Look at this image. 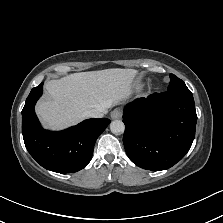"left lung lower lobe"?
I'll list each match as a JSON object with an SVG mask.
<instances>
[{"instance_id": "0a47b994", "label": "left lung lower lobe", "mask_w": 223, "mask_h": 223, "mask_svg": "<svg viewBox=\"0 0 223 223\" xmlns=\"http://www.w3.org/2000/svg\"><path fill=\"white\" fill-rule=\"evenodd\" d=\"M123 122L129 159L147 170L168 169L185 156L194 140L193 95L166 91L136 99L125 107Z\"/></svg>"}]
</instances>
